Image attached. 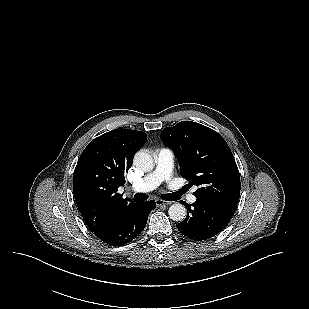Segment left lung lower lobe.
<instances>
[{
	"label": "left lung lower lobe",
	"mask_w": 309,
	"mask_h": 309,
	"mask_svg": "<svg viewBox=\"0 0 309 309\" xmlns=\"http://www.w3.org/2000/svg\"><path fill=\"white\" fill-rule=\"evenodd\" d=\"M186 218L176 225L186 237L193 240H206L220 233L230 222L236 206L215 200L197 198L187 204Z\"/></svg>",
	"instance_id": "left-lung-lower-lobe-1"
}]
</instances>
